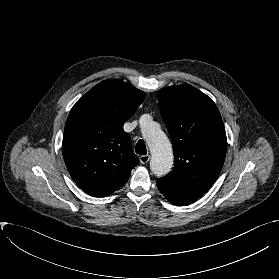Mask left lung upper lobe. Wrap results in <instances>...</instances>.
<instances>
[{"mask_svg": "<svg viewBox=\"0 0 279 279\" xmlns=\"http://www.w3.org/2000/svg\"><path fill=\"white\" fill-rule=\"evenodd\" d=\"M161 116L171 136L173 170L157 181L188 195L201 197L223 167L227 139L215 103L188 84L158 91Z\"/></svg>", "mask_w": 279, "mask_h": 279, "instance_id": "obj_1", "label": "left lung upper lobe"}]
</instances>
